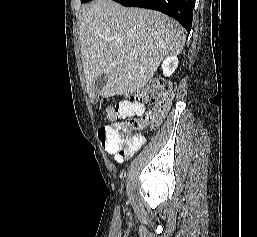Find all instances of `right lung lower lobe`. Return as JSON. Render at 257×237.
I'll use <instances>...</instances> for the list:
<instances>
[{"instance_id":"1","label":"right lung lower lobe","mask_w":257,"mask_h":237,"mask_svg":"<svg viewBox=\"0 0 257 237\" xmlns=\"http://www.w3.org/2000/svg\"><path fill=\"white\" fill-rule=\"evenodd\" d=\"M123 6L160 11L175 18L188 32L191 30L195 0H114Z\"/></svg>"}]
</instances>
